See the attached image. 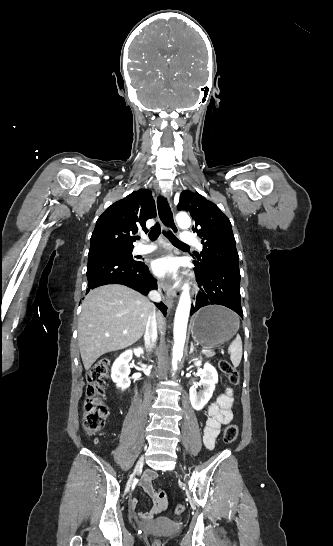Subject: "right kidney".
Returning a JSON list of instances; mask_svg holds the SVG:
<instances>
[{
	"label": "right kidney",
	"mask_w": 333,
	"mask_h": 546,
	"mask_svg": "<svg viewBox=\"0 0 333 546\" xmlns=\"http://www.w3.org/2000/svg\"><path fill=\"white\" fill-rule=\"evenodd\" d=\"M133 353L140 357L144 351L141 347L133 350H126L113 363L111 369V378L116 383L117 387L125 390L130 386V366L129 362L132 359Z\"/></svg>",
	"instance_id": "obj_1"
}]
</instances>
